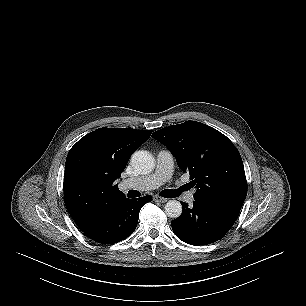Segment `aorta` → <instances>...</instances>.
<instances>
[{
    "mask_svg": "<svg viewBox=\"0 0 306 306\" xmlns=\"http://www.w3.org/2000/svg\"><path fill=\"white\" fill-rule=\"evenodd\" d=\"M131 165L139 174H149L154 168V158L147 151H137L131 157ZM165 213L170 218H178L182 213V205L177 200H169L165 204Z\"/></svg>",
    "mask_w": 306,
    "mask_h": 306,
    "instance_id": "aorta-1",
    "label": "aorta"
}]
</instances>
